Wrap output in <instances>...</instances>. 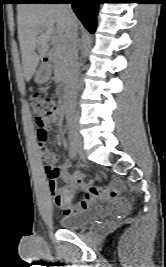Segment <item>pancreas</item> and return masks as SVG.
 <instances>
[{
  "label": "pancreas",
  "mask_w": 166,
  "mask_h": 267,
  "mask_svg": "<svg viewBox=\"0 0 166 267\" xmlns=\"http://www.w3.org/2000/svg\"><path fill=\"white\" fill-rule=\"evenodd\" d=\"M51 58L54 67V77L58 81H62L68 74V48L65 43L55 44L51 51Z\"/></svg>",
  "instance_id": "1"
}]
</instances>
